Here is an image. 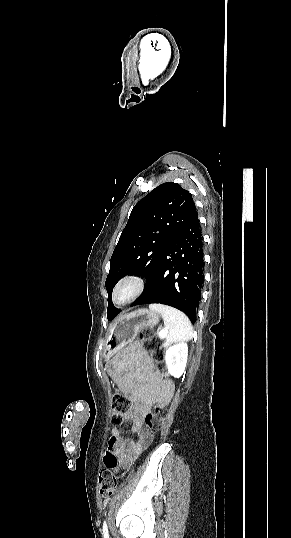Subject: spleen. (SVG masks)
<instances>
[{"instance_id":"spleen-1","label":"spleen","mask_w":291,"mask_h":538,"mask_svg":"<svg viewBox=\"0 0 291 538\" xmlns=\"http://www.w3.org/2000/svg\"><path fill=\"white\" fill-rule=\"evenodd\" d=\"M150 310L161 314L167 330V341L177 342L190 340L193 328L189 318L181 311L162 304H151Z\"/></svg>"}]
</instances>
